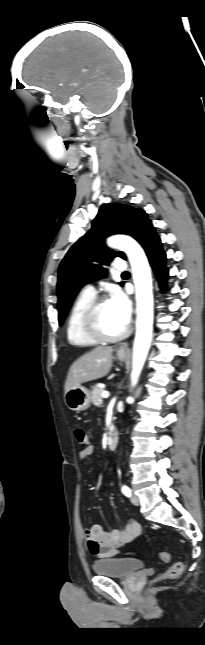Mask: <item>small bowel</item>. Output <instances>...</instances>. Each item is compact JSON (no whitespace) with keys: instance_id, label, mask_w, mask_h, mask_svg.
Segmentation results:
<instances>
[{"instance_id":"c3829d8e","label":"small bowel","mask_w":205,"mask_h":645,"mask_svg":"<svg viewBox=\"0 0 205 645\" xmlns=\"http://www.w3.org/2000/svg\"><path fill=\"white\" fill-rule=\"evenodd\" d=\"M94 447L88 446L80 451L79 457L85 460L94 454ZM141 525L129 519L124 526L105 531L100 524H94L85 530V541L89 553L97 558H108L119 553V547L129 543L140 535Z\"/></svg>"}]
</instances>
